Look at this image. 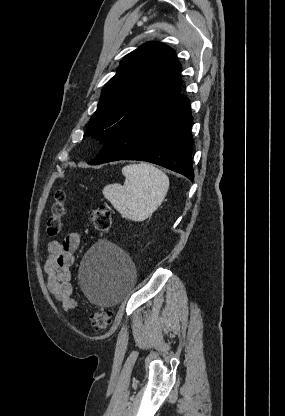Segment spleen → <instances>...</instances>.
<instances>
[{
	"instance_id": "obj_1",
	"label": "spleen",
	"mask_w": 285,
	"mask_h": 416,
	"mask_svg": "<svg viewBox=\"0 0 285 416\" xmlns=\"http://www.w3.org/2000/svg\"><path fill=\"white\" fill-rule=\"evenodd\" d=\"M124 186L109 184L103 196L113 208L133 220L143 222L161 206L169 188V178L152 164H130L122 170Z\"/></svg>"
}]
</instances>
